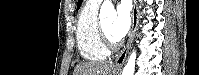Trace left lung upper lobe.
Instances as JSON below:
<instances>
[{
    "label": "left lung upper lobe",
    "mask_w": 199,
    "mask_h": 75,
    "mask_svg": "<svg viewBox=\"0 0 199 75\" xmlns=\"http://www.w3.org/2000/svg\"><path fill=\"white\" fill-rule=\"evenodd\" d=\"M82 1H83V0H78L77 10L80 8Z\"/></svg>",
    "instance_id": "1"
}]
</instances>
